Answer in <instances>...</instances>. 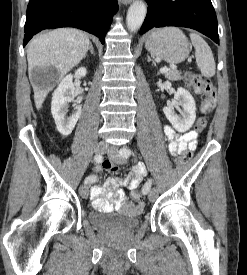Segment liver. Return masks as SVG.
Returning a JSON list of instances; mask_svg holds the SVG:
<instances>
[{
  "label": "liver",
  "mask_w": 247,
  "mask_h": 275,
  "mask_svg": "<svg viewBox=\"0 0 247 275\" xmlns=\"http://www.w3.org/2000/svg\"><path fill=\"white\" fill-rule=\"evenodd\" d=\"M90 41L82 31L74 28H59L35 37L27 48L29 75L34 68L54 67L62 78L78 65L89 50ZM53 85L46 88L33 84L34 101L39 110Z\"/></svg>",
  "instance_id": "obj_1"
}]
</instances>
